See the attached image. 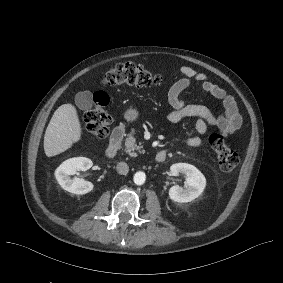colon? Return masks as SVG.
<instances>
[{"mask_svg": "<svg viewBox=\"0 0 283 283\" xmlns=\"http://www.w3.org/2000/svg\"><path fill=\"white\" fill-rule=\"evenodd\" d=\"M162 76L154 73L141 65L134 63H121L112 66L102 77L105 86L128 85L135 87H152L162 83ZM108 97L99 92L94 98L93 107L84 116V121L90 135L96 139L107 136L111 117L105 110ZM211 149L216 154L220 169L224 173L233 172L239 162L235 151L230 149L222 135L214 133L208 139Z\"/></svg>", "mask_w": 283, "mask_h": 283, "instance_id": "1", "label": "colon"}]
</instances>
